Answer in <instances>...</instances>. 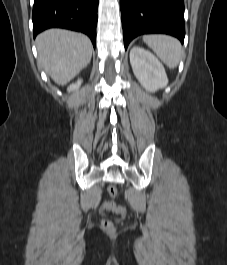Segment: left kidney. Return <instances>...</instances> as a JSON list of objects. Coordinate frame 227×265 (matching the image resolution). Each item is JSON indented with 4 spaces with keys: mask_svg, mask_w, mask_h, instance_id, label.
Returning <instances> with one entry per match:
<instances>
[{
    "mask_svg": "<svg viewBox=\"0 0 227 265\" xmlns=\"http://www.w3.org/2000/svg\"><path fill=\"white\" fill-rule=\"evenodd\" d=\"M130 63L134 75L146 90L155 92L168 84L163 65L150 51L133 47L130 51Z\"/></svg>",
    "mask_w": 227,
    "mask_h": 265,
    "instance_id": "5707ae66",
    "label": "left kidney"
}]
</instances>
